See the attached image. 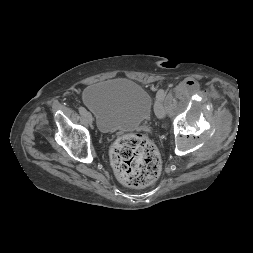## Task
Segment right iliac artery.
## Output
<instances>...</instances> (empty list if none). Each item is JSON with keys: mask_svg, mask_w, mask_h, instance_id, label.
<instances>
[{"mask_svg": "<svg viewBox=\"0 0 253 253\" xmlns=\"http://www.w3.org/2000/svg\"><path fill=\"white\" fill-rule=\"evenodd\" d=\"M78 111H79V113H80L81 115H84V113L86 112V109H85L84 107L80 106V107L78 108Z\"/></svg>", "mask_w": 253, "mask_h": 253, "instance_id": "1", "label": "right iliac artery"}]
</instances>
